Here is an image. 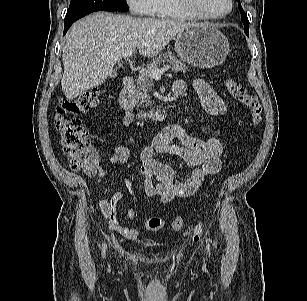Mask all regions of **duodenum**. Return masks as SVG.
<instances>
[{
    "instance_id": "duodenum-1",
    "label": "duodenum",
    "mask_w": 307,
    "mask_h": 301,
    "mask_svg": "<svg viewBox=\"0 0 307 301\" xmlns=\"http://www.w3.org/2000/svg\"><path fill=\"white\" fill-rule=\"evenodd\" d=\"M133 88L134 78L132 76H126L123 79L122 88L120 91V104L127 113H132L137 116L141 121L160 122L168 117L170 108H160L153 111H141L137 110L133 101ZM182 94L179 89H173V97H178Z\"/></svg>"
}]
</instances>
